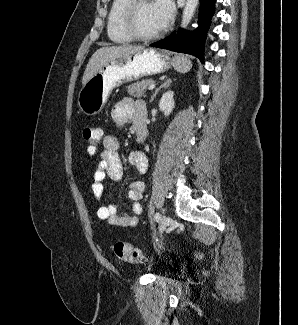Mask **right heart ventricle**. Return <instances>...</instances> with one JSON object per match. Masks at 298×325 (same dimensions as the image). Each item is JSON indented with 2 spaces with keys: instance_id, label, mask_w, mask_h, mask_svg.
<instances>
[{
  "instance_id": "right-heart-ventricle-1",
  "label": "right heart ventricle",
  "mask_w": 298,
  "mask_h": 325,
  "mask_svg": "<svg viewBox=\"0 0 298 325\" xmlns=\"http://www.w3.org/2000/svg\"><path fill=\"white\" fill-rule=\"evenodd\" d=\"M128 0H116L111 4L107 15L106 31L109 41L116 46H126L132 42L120 28V15Z\"/></svg>"
}]
</instances>
